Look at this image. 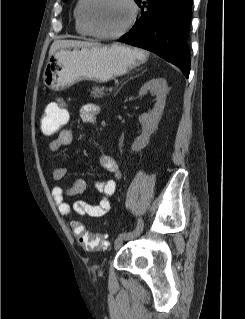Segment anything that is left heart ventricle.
<instances>
[{
    "label": "left heart ventricle",
    "instance_id": "1",
    "mask_svg": "<svg viewBox=\"0 0 245 319\" xmlns=\"http://www.w3.org/2000/svg\"><path fill=\"white\" fill-rule=\"evenodd\" d=\"M88 15L95 29L113 33L128 22L131 9L126 0H93Z\"/></svg>",
    "mask_w": 245,
    "mask_h": 319
}]
</instances>
